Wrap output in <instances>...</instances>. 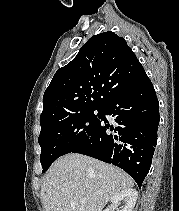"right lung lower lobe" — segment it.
I'll list each match as a JSON object with an SVG mask.
<instances>
[{
	"instance_id": "right-lung-lower-lobe-1",
	"label": "right lung lower lobe",
	"mask_w": 179,
	"mask_h": 211,
	"mask_svg": "<svg viewBox=\"0 0 179 211\" xmlns=\"http://www.w3.org/2000/svg\"><path fill=\"white\" fill-rule=\"evenodd\" d=\"M105 115L114 118L115 127ZM159 120V102L152 82L144 73L137 82L107 103L95 133L72 153L118 166L141 187L157 144Z\"/></svg>"
}]
</instances>
